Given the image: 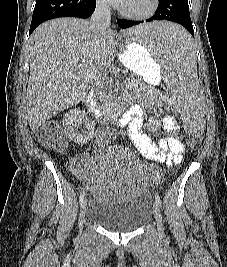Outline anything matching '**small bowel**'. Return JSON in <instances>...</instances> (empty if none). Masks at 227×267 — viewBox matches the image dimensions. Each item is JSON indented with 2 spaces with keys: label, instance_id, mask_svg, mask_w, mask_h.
I'll return each instance as SVG.
<instances>
[{
  "label": "small bowel",
  "instance_id": "obj_1",
  "mask_svg": "<svg viewBox=\"0 0 227 267\" xmlns=\"http://www.w3.org/2000/svg\"><path fill=\"white\" fill-rule=\"evenodd\" d=\"M150 111H156V107L149 105ZM145 114L141 109H132L124 114L119 119V124L126 127L131 141L137 150L146 159L164 164L168 168H173L178 165L184 156V142L176 133L179 131V126L172 116H163L161 128L164 132L170 133L169 136L160 137L153 140L152 137L143 131ZM73 173L82 181L89 182L94 176L96 180L88 183L89 190L97 195L116 196L117 190L113 186L100 183V173L87 168L86 161L81 157H77L71 167Z\"/></svg>",
  "mask_w": 227,
  "mask_h": 267
}]
</instances>
